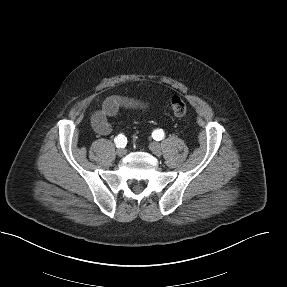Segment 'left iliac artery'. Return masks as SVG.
<instances>
[{
	"label": "left iliac artery",
	"instance_id": "1",
	"mask_svg": "<svg viewBox=\"0 0 287 287\" xmlns=\"http://www.w3.org/2000/svg\"><path fill=\"white\" fill-rule=\"evenodd\" d=\"M152 136L157 141L162 140L164 138V131L162 129H156L153 131Z\"/></svg>",
	"mask_w": 287,
	"mask_h": 287
}]
</instances>
